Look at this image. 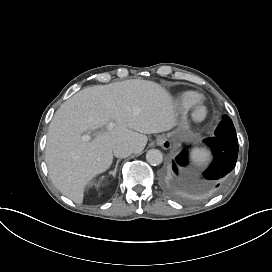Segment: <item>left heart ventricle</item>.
Segmentation results:
<instances>
[{"label":"left heart ventricle","instance_id":"1","mask_svg":"<svg viewBox=\"0 0 272 272\" xmlns=\"http://www.w3.org/2000/svg\"><path fill=\"white\" fill-rule=\"evenodd\" d=\"M205 114V109L201 106L197 107L195 110H194V115L197 117V118H202Z\"/></svg>","mask_w":272,"mask_h":272}]
</instances>
